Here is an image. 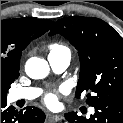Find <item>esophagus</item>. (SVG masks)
I'll return each instance as SVG.
<instances>
[{"instance_id":"1","label":"esophagus","mask_w":123,"mask_h":123,"mask_svg":"<svg viewBox=\"0 0 123 123\" xmlns=\"http://www.w3.org/2000/svg\"><path fill=\"white\" fill-rule=\"evenodd\" d=\"M63 116L62 115H58V114H49L48 115V119L54 121V122H59L61 120H63Z\"/></svg>"}]
</instances>
